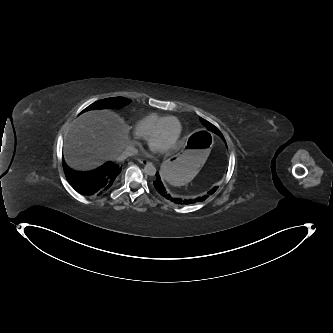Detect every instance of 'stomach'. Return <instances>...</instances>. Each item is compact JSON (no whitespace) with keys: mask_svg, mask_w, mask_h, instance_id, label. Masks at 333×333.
I'll return each mask as SVG.
<instances>
[{"mask_svg":"<svg viewBox=\"0 0 333 333\" xmlns=\"http://www.w3.org/2000/svg\"><path fill=\"white\" fill-rule=\"evenodd\" d=\"M214 141L211 132L201 129L185 139L176 155L163 162L159 168L161 181L171 186H181L190 182L198 172V167L209 155Z\"/></svg>","mask_w":333,"mask_h":333,"instance_id":"obj_1","label":"stomach"}]
</instances>
